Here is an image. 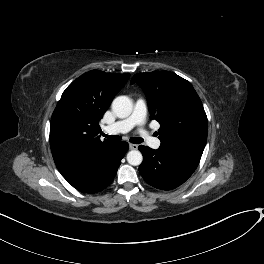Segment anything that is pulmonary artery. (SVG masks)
<instances>
[{
  "label": "pulmonary artery",
  "instance_id": "obj_1",
  "mask_svg": "<svg viewBox=\"0 0 264 264\" xmlns=\"http://www.w3.org/2000/svg\"><path fill=\"white\" fill-rule=\"evenodd\" d=\"M147 108L145 100L138 98L133 107L132 113L116 123L108 125L105 131L109 134L127 133L136 126L142 125L146 119ZM141 138L149 143L152 147L157 148L160 146V140L147 130L140 131Z\"/></svg>",
  "mask_w": 264,
  "mask_h": 264
}]
</instances>
